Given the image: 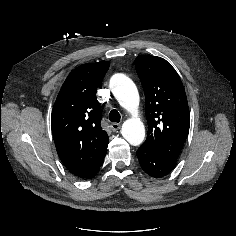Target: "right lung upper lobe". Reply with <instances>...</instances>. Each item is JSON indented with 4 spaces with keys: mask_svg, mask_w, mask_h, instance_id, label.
<instances>
[{
    "mask_svg": "<svg viewBox=\"0 0 236 236\" xmlns=\"http://www.w3.org/2000/svg\"><path fill=\"white\" fill-rule=\"evenodd\" d=\"M109 68L106 61L74 69L56 98L51 127L57 153L74 175L88 179L99 170L107 152L108 135L101 127L97 85Z\"/></svg>",
    "mask_w": 236,
    "mask_h": 236,
    "instance_id": "cb5924a9",
    "label": "right lung upper lobe"
}]
</instances>
